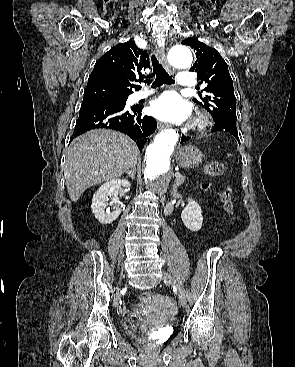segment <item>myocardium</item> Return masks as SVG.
<instances>
[{
	"label": "myocardium",
	"mask_w": 295,
	"mask_h": 367,
	"mask_svg": "<svg viewBox=\"0 0 295 367\" xmlns=\"http://www.w3.org/2000/svg\"><path fill=\"white\" fill-rule=\"evenodd\" d=\"M209 126V118L206 115H200L193 124L195 130L202 132Z\"/></svg>",
	"instance_id": "myocardium-1"
}]
</instances>
